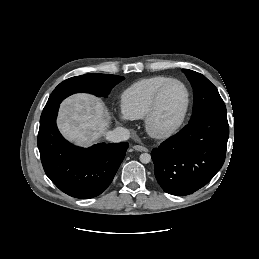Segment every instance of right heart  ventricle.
I'll use <instances>...</instances> for the list:
<instances>
[{
  "mask_svg": "<svg viewBox=\"0 0 259 259\" xmlns=\"http://www.w3.org/2000/svg\"><path fill=\"white\" fill-rule=\"evenodd\" d=\"M169 77L152 76L127 87L120 96L122 112L130 119L144 118L156 89Z\"/></svg>",
  "mask_w": 259,
  "mask_h": 259,
  "instance_id": "e07e8e85",
  "label": "right heart ventricle"
}]
</instances>
